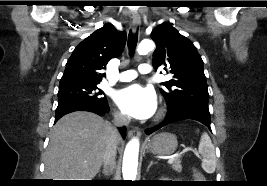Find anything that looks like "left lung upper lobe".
<instances>
[{
  "label": "left lung upper lobe",
  "mask_w": 267,
  "mask_h": 186,
  "mask_svg": "<svg viewBox=\"0 0 267 186\" xmlns=\"http://www.w3.org/2000/svg\"><path fill=\"white\" fill-rule=\"evenodd\" d=\"M156 43L153 67L164 66L173 74L162 82L161 89L167 101L168 111L188 105L208 107L209 94L203 61L193 43L182 36L171 23L164 22L151 33Z\"/></svg>",
  "instance_id": "obj_1"
}]
</instances>
